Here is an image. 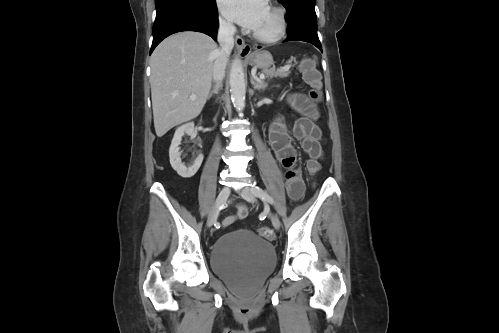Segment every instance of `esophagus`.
I'll return each mask as SVG.
<instances>
[{"mask_svg": "<svg viewBox=\"0 0 499 333\" xmlns=\"http://www.w3.org/2000/svg\"><path fill=\"white\" fill-rule=\"evenodd\" d=\"M235 44L242 57H247L251 53V46L247 45L241 36H235Z\"/></svg>", "mask_w": 499, "mask_h": 333, "instance_id": "1", "label": "esophagus"}]
</instances>
